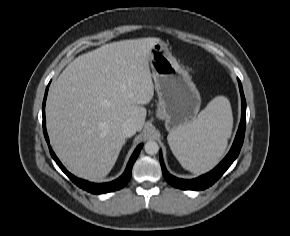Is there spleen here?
<instances>
[{
  "label": "spleen",
  "mask_w": 290,
  "mask_h": 236,
  "mask_svg": "<svg viewBox=\"0 0 290 236\" xmlns=\"http://www.w3.org/2000/svg\"><path fill=\"white\" fill-rule=\"evenodd\" d=\"M232 126L230 102L224 96H217L192 123L169 133L167 140L184 169L202 174L219 162L226 150Z\"/></svg>",
  "instance_id": "3e777b00"
}]
</instances>
